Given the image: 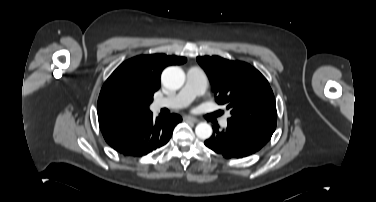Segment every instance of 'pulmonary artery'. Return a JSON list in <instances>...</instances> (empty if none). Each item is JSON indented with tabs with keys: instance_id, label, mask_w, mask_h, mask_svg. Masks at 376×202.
<instances>
[{
	"instance_id": "pulmonary-artery-1",
	"label": "pulmonary artery",
	"mask_w": 376,
	"mask_h": 202,
	"mask_svg": "<svg viewBox=\"0 0 376 202\" xmlns=\"http://www.w3.org/2000/svg\"><path fill=\"white\" fill-rule=\"evenodd\" d=\"M206 77L203 70L197 66L187 71L186 83L175 95L158 98L154 102L155 109L170 108L179 109L188 106L196 97L205 91ZM222 126H227V121H222Z\"/></svg>"
}]
</instances>
